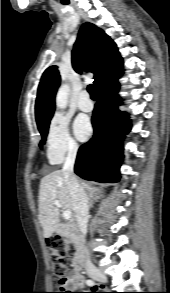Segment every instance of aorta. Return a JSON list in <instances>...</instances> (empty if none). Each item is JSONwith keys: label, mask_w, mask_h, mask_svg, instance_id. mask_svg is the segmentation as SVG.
<instances>
[{"label": "aorta", "mask_w": 170, "mask_h": 293, "mask_svg": "<svg viewBox=\"0 0 170 293\" xmlns=\"http://www.w3.org/2000/svg\"><path fill=\"white\" fill-rule=\"evenodd\" d=\"M69 86L67 84L62 85L56 95L57 108L64 109L68 103Z\"/></svg>", "instance_id": "762f6f07"}]
</instances>
